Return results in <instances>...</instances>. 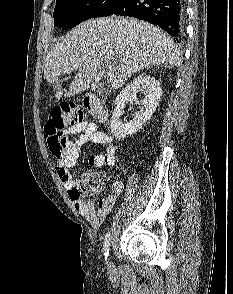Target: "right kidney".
<instances>
[{"instance_id": "obj_1", "label": "right kidney", "mask_w": 233, "mask_h": 294, "mask_svg": "<svg viewBox=\"0 0 233 294\" xmlns=\"http://www.w3.org/2000/svg\"><path fill=\"white\" fill-rule=\"evenodd\" d=\"M145 95L141 100V110L136 112L133 119L122 123L119 117L123 114L127 103L137 102V93ZM162 96L160 83L152 76L141 73L127 85L116 97L115 108L111 119V131L116 138H125L138 132L151 118Z\"/></svg>"}]
</instances>
